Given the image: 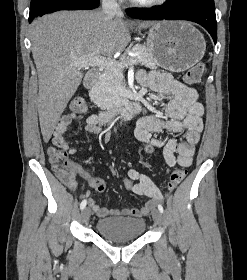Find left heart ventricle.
Listing matches in <instances>:
<instances>
[{"mask_svg":"<svg viewBox=\"0 0 247 280\" xmlns=\"http://www.w3.org/2000/svg\"><path fill=\"white\" fill-rule=\"evenodd\" d=\"M139 1H147V0H139Z\"/></svg>","mask_w":247,"mask_h":280,"instance_id":"obj_1","label":"left heart ventricle"}]
</instances>
